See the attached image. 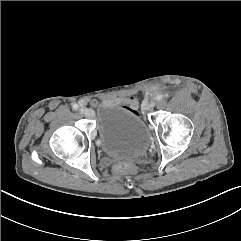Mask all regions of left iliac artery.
I'll use <instances>...</instances> for the list:
<instances>
[{"label": "left iliac artery", "mask_w": 241, "mask_h": 241, "mask_svg": "<svg viewBox=\"0 0 241 241\" xmlns=\"http://www.w3.org/2000/svg\"><path fill=\"white\" fill-rule=\"evenodd\" d=\"M162 99H163V96H162V95H157V96H156V100L161 101Z\"/></svg>", "instance_id": "left-iliac-artery-1"}]
</instances>
